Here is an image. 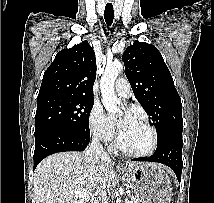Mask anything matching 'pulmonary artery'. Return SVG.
<instances>
[{"label":"pulmonary artery","mask_w":214,"mask_h":203,"mask_svg":"<svg viewBox=\"0 0 214 203\" xmlns=\"http://www.w3.org/2000/svg\"><path fill=\"white\" fill-rule=\"evenodd\" d=\"M115 90L119 96L123 98H128L130 95V85L127 79L121 77L115 82Z\"/></svg>","instance_id":"1"}]
</instances>
